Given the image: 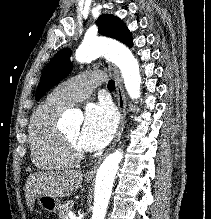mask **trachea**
I'll return each mask as SVG.
<instances>
[{"mask_svg": "<svg viewBox=\"0 0 211 219\" xmlns=\"http://www.w3.org/2000/svg\"><path fill=\"white\" fill-rule=\"evenodd\" d=\"M115 88V82L113 80H110L108 82V89L113 90Z\"/></svg>", "mask_w": 211, "mask_h": 219, "instance_id": "trachea-1", "label": "trachea"}]
</instances>
